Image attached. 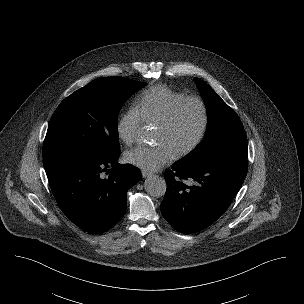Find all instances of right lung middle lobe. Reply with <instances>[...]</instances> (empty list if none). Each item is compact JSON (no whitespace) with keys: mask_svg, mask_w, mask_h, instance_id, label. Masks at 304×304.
I'll use <instances>...</instances> for the list:
<instances>
[{"mask_svg":"<svg viewBox=\"0 0 304 304\" xmlns=\"http://www.w3.org/2000/svg\"><path fill=\"white\" fill-rule=\"evenodd\" d=\"M145 85L123 77H102L68 96L50 120L43 161L69 155L108 158L120 154L118 112Z\"/></svg>","mask_w":304,"mask_h":304,"instance_id":"right-lung-middle-lobe-1","label":"right lung middle lobe"}]
</instances>
